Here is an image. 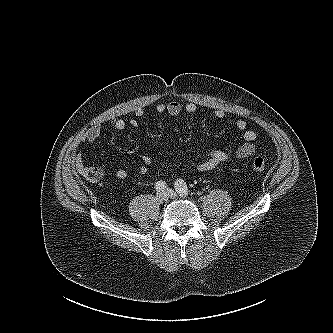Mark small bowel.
<instances>
[{"label":"small bowel","mask_w":333,"mask_h":333,"mask_svg":"<svg viewBox=\"0 0 333 333\" xmlns=\"http://www.w3.org/2000/svg\"><path fill=\"white\" fill-rule=\"evenodd\" d=\"M157 113L168 114L172 117H178L183 112L193 114L196 112V105L194 103H187L182 105L177 101L168 103H158L155 107ZM136 116L142 117L144 111L142 109L136 110ZM215 118L223 119L225 112L221 109H216L213 112ZM110 125L117 131H124L127 127L136 128L138 121L130 119L125 121L121 118H115L110 121ZM235 127L241 132L243 143L235 151V157L239 160L245 159L253 155L256 151L255 140L257 134L255 131L248 128V124L244 119H238L235 122ZM102 133V126L100 124L92 126L83 136V141L88 143L96 142ZM230 152L221 149H211L206 152V160L195 166L196 171L200 173H218L223 171L224 163L230 158ZM152 163L151 157L145 155L142 157V163L138 166L137 171L141 175L148 172L149 165ZM72 170L74 173L79 174L87 180L97 182L102 180L108 171L98 167H86L83 163L81 155H76L71 161ZM128 170L126 168L118 169L115 172L117 179L123 180L128 177Z\"/></svg>","instance_id":"c3829d8e"}]
</instances>
